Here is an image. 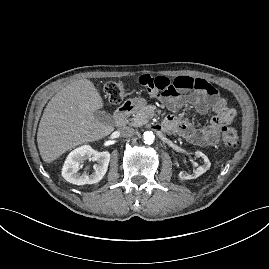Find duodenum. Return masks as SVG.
<instances>
[{
  "label": "duodenum",
  "mask_w": 269,
  "mask_h": 269,
  "mask_svg": "<svg viewBox=\"0 0 269 269\" xmlns=\"http://www.w3.org/2000/svg\"><path fill=\"white\" fill-rule=\"evenodd\" d=\"M135 108L136 104L131 101H126L121 106H119L118 109L115 111L116 125L119 127L123 126L129 115L135 110Z\"/></svg>",
  "instance_id": "410a0bca"
}]
</instances>
